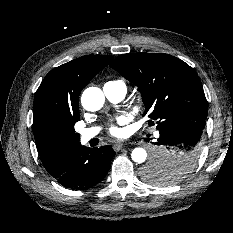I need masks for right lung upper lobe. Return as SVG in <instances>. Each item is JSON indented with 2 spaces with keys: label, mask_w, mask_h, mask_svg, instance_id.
Listing matches in <instances>:
<instances>
[{
  "label": "right lung upper lobe",
  "mask_w": 233,
  "mask_h": 233,
  "mask_svg": "<svg viewBox=\"0 0 233 233\" xmlns=\"http://www.w3.org/2000/svg\"><path fill=\"white\" fill-rule=\"evenodd\" d=\"M113 57L86 55L51 70L34 98L33 134L40 157L49 153V138L79 121V95Z\"/></svg>",
  "instance_id": "obj_1"
}]
</instances>
